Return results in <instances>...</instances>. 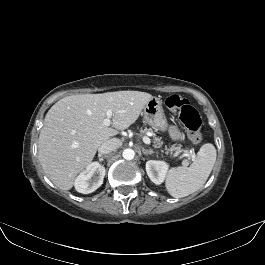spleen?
Returning a JSON list of instances; mask_svg holds the SVG:
<instances>
[{"label":"spleen","mask_w":265,"mask_h":265,"mask_svg":"<svg viewBox=\"0 0 265 265\" xmlns=\"http://www.w3.org/2000/svg\"><path fill=\"white\" fill-rule=\"evenodd\" d=\"M216 149L206 143L189 167H173L166 178V189L175 198L188 196L200 189L207 181L216 162Z\"/></svg>","instance_id":"1"}]
</instances>
